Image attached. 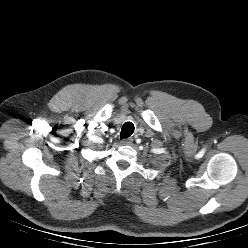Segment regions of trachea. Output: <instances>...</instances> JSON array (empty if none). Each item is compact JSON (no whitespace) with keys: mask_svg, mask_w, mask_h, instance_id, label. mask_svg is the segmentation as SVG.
<instances>
[{"mask_svg":"<svg viewBox=\"0 0 248 248\" xmlns=\"http://www.w3.org/2000/svg\"><path fill=\"white\" fill-rule=\"evenodd\" d=\"M134 129L135 128L132 122H126L121 129V133H120L121 139L130 137L133 134Z\"/></svg>","mask_w":248,"mask_h":248,"instance_id":"trachea-1","label":"trachea"}]
</instances>
